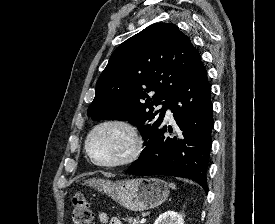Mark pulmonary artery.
Returning a JSON list of instances; mask_svg holds the SVG:
<instances>
[{"instance_id": "1", "label": "pulmonary artery", "mask_w": 275, "mask_h": 224, "mask_svg": "<svg viewBox=\"0 0 275 224\" xmlns=\"http://www.w3.org/2000/svg\"><path fill=\"white\" fill-rule=\"evenodd\" d=\"M161 107H162V105H159V108H161ZM166 115L168 118H171L172 114H171L170 109H167Z\"/></svg>"}]
</instances>
